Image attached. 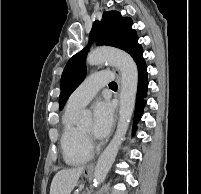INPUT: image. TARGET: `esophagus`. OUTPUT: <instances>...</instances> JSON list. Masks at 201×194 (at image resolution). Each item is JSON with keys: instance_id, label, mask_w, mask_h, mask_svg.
I'll return each instance as SVG.
<instances>
[{"instance_id": "obj_1", "label": "esophagus", "mask_w": 201, "mask_h": 194, "mask_svg": "<svg viewBox=\"0 0 201 194\" xmlns=\"http://www.w3.org/2000/svg\"><path fill=\"white\" fill-rule=\"evenodd\" d=\"M114 72L117 74L118 77H120V72L117 69H114ZM117 117H118V110H117L116 115H115V121H114L113 130L115 129V125H116V122H117ZM92 167H93V164L88 166L89 169L92 168Z\"/></svg>"}]
</instances>
